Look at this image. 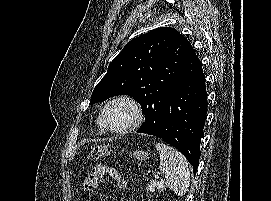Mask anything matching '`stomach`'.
I'll return each instance as SVG.
<instances>
[{"instance_id":"0dacf381","label":"stomach","mask_w":271,"mask_h":201,"mask_svg":"<svg viewBox=\"0 0 271 201\" xmlns=\"http://www.w3.org/2000/svg\"><path fill=\"white\" fill-rule=\"evenodd\" d=\"M133 157L137 160H145L147 158V153L144 151H135L133 152Z\"/></svg>"}]
</instances>
